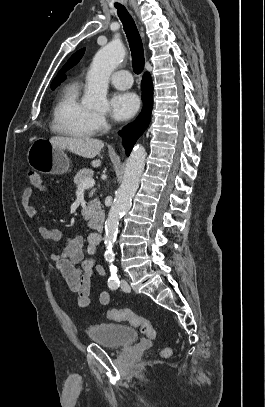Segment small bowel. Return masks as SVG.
Listing matches in <instances>:
<instances>
[{"label":"small bowel","mask_w":265,"mask_h":407,"mask_svg":"<svg viewBox=\"0 0 265 407\" xmlns=\"http://www.w3.org/2000/svg\"><path fill=\"white\" fill-rule=\"evenodd\" d=\"M34 195V190L30 187L23 190L21 204L25 213L31 218H38L39 213L30 200ZM39 235L50 243L59 242L62 239V232L58 228L39 226ZM98 237L89 236L87 241V252L94 255L98 249ZM55 261L57 270L65 280L68 289L78 295L77 304L80 308L90 305L91 281L94 277L106 275L103 267L96 265L93 258L84 257V237L74 235L68 237L61 251L51 254ZM99 302L103 306L110 303V295L107 291L99 293ZM98 310L96 309L95 312Z\"/></svg>","instance_id":"c3829d8e"}]
</instances>
